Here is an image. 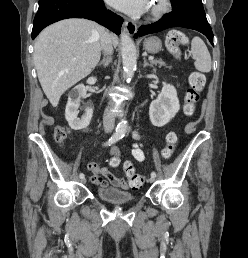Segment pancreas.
Wrapping results in <instances>:
<instances>
[{
    "mask_svg": "<svg viewBox=\"0 0 248 258\" xmlns=\"http://www.w3.org/2000/svg\"><path fill=\"white\" fill-rule=\"evenodd\" d=\"M151 65H155V66H165V62L162 59H155L151 61ZM170 68V67H169Z\"/></svg>",
    "mask_w": 248,
    "mask_h": 258,
    "instance_id": "obj_1",
    "label": "pancreas"
}]
</instances>
